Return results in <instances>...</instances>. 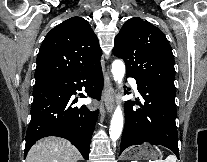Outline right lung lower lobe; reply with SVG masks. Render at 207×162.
<instances>
[{
    "label": "right lung lower lobe",
    "instance_id": "right-lung-lower-lobe-1",
    "mask_svg": "<svg viewBox=\"0 0 207 162\" xmlns=\"http://www.w3.org/2000/svg\"><path fill=\"white\" fill-rule=\"evenodd\" d=\"M82 87L89 97L100 99L103 88L101 64L34 86L24 157L37 140L59 136L73 143L85 160L89 159V145L98 113L85 105L72 107L76 101L72 102L71 96Z\"/></svg>",
    "mask_w": 207,
    "mask_h": 162
}]
</instances>
